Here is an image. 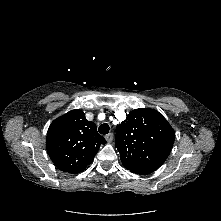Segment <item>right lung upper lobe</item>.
Masks as SVG:
<instances>
[{"mask_svg":"<svg viewBox=\"0 0 221 221\" xmlns=\"http://www.w3.org/2000/svg\"><path fill=\"white\" fill-rule=\"evenodd\" d=\"M106 140L98 134L96 124L75 109L60 116L49 126L46 138L48 155L61 171L80 173L90 165Z\"/></svg>","mask_w":221,"mask_h":221,"instance_id":"right-lung-upper-lobe-1","label":"right lung upper lobe"}]
</instances>
